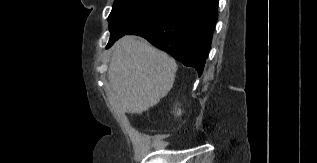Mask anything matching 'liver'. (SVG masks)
Masks as SVG:
<instances>
[{
	"mask_svg": "<svg viewBox=\"0 0 317 163\" xmlns=\"http://www.w3.org/2000/svg\"><path fill=\"white\" fill-rule=\"evenodd\" d=\"M177 64L167 53L135 36H124L112 48L108 80L112 108L141 114L171 90Z\"/></svg>",
	"mask_w": 317,
	"mask_h": 163,
	"instance_id": "6515ba94",
	"label": "liver"
}]
</instances>
